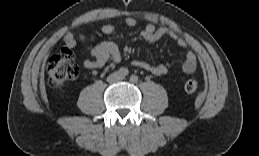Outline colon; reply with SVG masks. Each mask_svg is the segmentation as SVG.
Instances as JSON below:
<instances>
[{
  "label": "colon",
  "mask_w": 259,
  "mask_h": 156,
  "mask_svg": "<svg viewBox=\"0 0 259 156\" xmlns=\"http://www.w3.org/2000/svg\"><path fill=\"white\" fill-rule=\"evenodd\" d=\"M47 80L50 87L60 89L75 79L78 75V66L75 63L73 52L69 48H63L60 53L52 55L46 64ZM199 86L195 79L188 80L184 85L187 93H194Z\"/></svg>",
  "instance_id": "1"
}]
</instances>
